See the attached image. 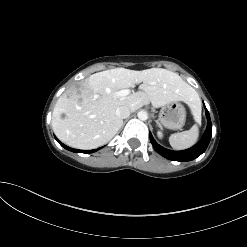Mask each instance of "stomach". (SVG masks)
<instances>
[{"label": "stomach", "mask_w": 247, "mask_h": 247, "mask_svg": "<svg viewBox=\"0 0 247 247\" xmlns=\"http://www.w3.org/2000/svg\"><path fill=\"white\" fill-rule=\"evenodd\" d=\"M159 120L167 129H181L185 124L186 110L180 102H171L162 107L159 113Z\"/></svg>", "instance_id": "0dacf381"}]
</instances>
